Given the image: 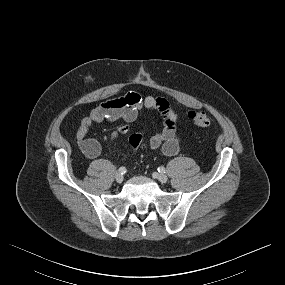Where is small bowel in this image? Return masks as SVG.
Listing matches in <instances>:
<instances>
[{"mask_svg": "<svg viewBox=\"0 0 285 285\" xmlns=\"http://www.w3.org/2000/svg\"><path fill=\"white\" fill-rule=\"evenodd\" d=\"M144 108L157 110L163 117L162 125L150 137L149 146L152 149H160L166 156L177 154L181 140L176 129L177 114L170 103L161 97L141 96L132 91L117 99L101 103L80 121L76 133L79 148L87 158H96L100 153V145L96 140L87 138L92 125L103 121L117 122L122 120L124 123L117 125L111 135V140L115 143L120 134L130 131L131 124L137 120L139 111ZM141 142L142 134L131 135L129 138L131 151H135Z\"/></svg>", "mask_w": 285, "mask_h": 285, "instance_id": "c3829d8e", "label": "small bowel"}]
</instances>
